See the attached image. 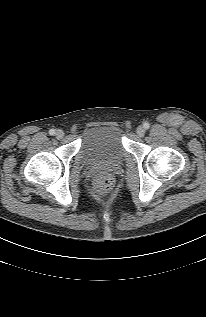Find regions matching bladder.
Instances as JSON below:
<instances>
[{"label":"bladder","mask_w":206,"mask_h":317,"mask_svg":"<svg viewBox=\"0 0 206 317\" xmlns=\"http://www.w3.org/2000/svg\"><path fill=\"white\" fill-rule=\"evenodd\" d=\"M125 155L122 131L114 125H96L86 129L79 150L84 166L119 164Z\"/></svg>","instance_id":"31cf9c89"}]
</instances>
